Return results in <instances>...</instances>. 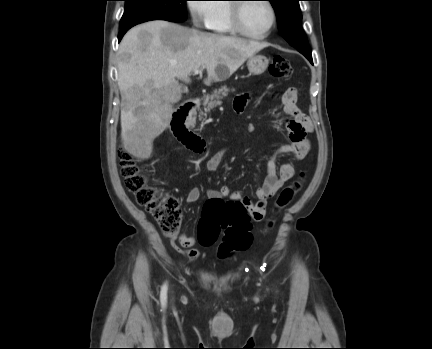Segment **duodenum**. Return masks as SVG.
I'll use <instances>...</instances> for the list:
<instances>
[{
    "label": "duodenum",
    "mask_w": 432,
    "mask_h": 349,
    "mask_svg": "<svg viewBox=\"0 0 432 349\" xmlns=\"http://www.w3.org/2000/svg\"><path fill=\"white\" fill-rule=\"evenodd\" d=\"M199 103V97L184 102L173 113L171 129L174 136L189 150L203 153L205 142L191 129L192 117Z\"/></svg>",
    "instance_id": "duodenum-1"
}]
</instances>
